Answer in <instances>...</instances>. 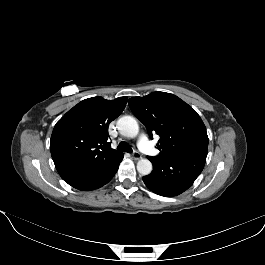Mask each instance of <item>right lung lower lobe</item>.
<instances>
[{
    "label": "right lung lower lobe",
    "mask_w": 265,
    "mask_h": 265,
    "mask_svg": "<svg viewBox=\"0 0 265 265\" xmlns=\"http://www.w3.org/2000/svg\"><path fill=\"white\" fill-rule=\"evenodd\" d=\"M123 154L104 161H88L71 166L58 167L61 178L72 187L89 191L102 187L115 175Z\"/></svg>",
    "instance_id": "obj_1"
}]
</instances>
